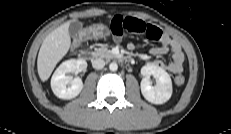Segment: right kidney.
<instances>
[{
	"label": "right kidney",
	"instance_id": "1",
	"mask_svg": "<svg viewBox=\"0 0 231 134\" xmlns=\"http://www.w3.org/2000/svg\"><path fill=\"white\" fill-rule=\"evenodd\" d=\"M87 62L83 59H70L64 61L54 72L51 78V88L53 93L61 99H73L79 95L83 88L80 78L71 79L67 73H75L85 70ZM70 85L69 87H67Z\"/></svg>",
	"mask_w": 231,
	"mask_h": 134
}]
</instances>
